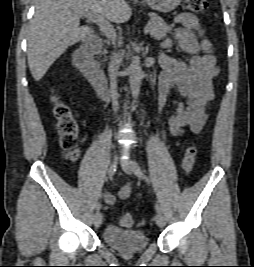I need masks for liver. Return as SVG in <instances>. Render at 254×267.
Here are the masks:
<instances>
[{
    "label": "liver",
    "mask_w": 254,
    "mask_h": 267,
    "mask_svg": "<svg viewBox=\"0 0 254 267\" xmlns=\"http://www.w3.org/2000/svg\"><path fill=\"white\" fill-rule=\"evenodd\" d=\"M82 13H98L114 23L131 17L126 0H36L28 31V65L39 81L68 47L93 33L80 26Z\"/></svg>",
    "instance_id": "1"
}]
</instances>
